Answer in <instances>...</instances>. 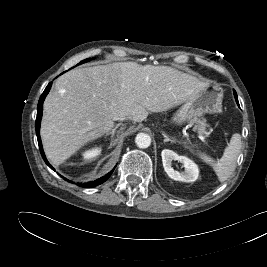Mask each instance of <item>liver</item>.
<instances>
[{
  "label": "liver",
  "instance_id": "1",
  "mask_svg": "<svg viewBox=\"0 0 267 267\" xmlns=\"http://www.w3.org/2000/svg\"><path fill=\"white\" fill-rule=\"evenodd\" d=\"M168 66L116 62L75 68L60 76L44 101L40 134L48 159L59 165L111 131L116 118L142 122L208 87Z\"/></svg>",
  "mask_w": 267,
  "mask_h": 267
}]
</instances>
